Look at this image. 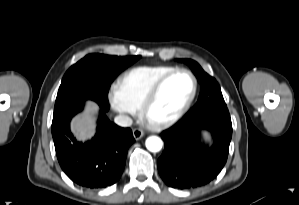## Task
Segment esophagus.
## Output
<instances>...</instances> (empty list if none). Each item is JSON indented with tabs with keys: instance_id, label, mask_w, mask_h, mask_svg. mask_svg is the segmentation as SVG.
<instances>
[{
	"instance_id": "1",
	"label": "esophagus",
	"mask_w": 299,
	"mask_h": 205,
	"mask_svg": "<svg viewBox=\"0 0 299 205\" xmlns=\"http://www.w3.org/2000/svg\"><path fill=\"white\" fill-rule=\"evenodd\" d=\"M144 136V132L139 129V128H135L133 130V137L135 138V140H139Z\"/></svg>"
}]
</instances>
